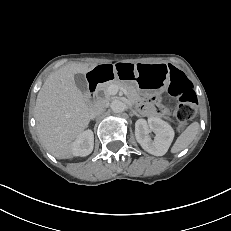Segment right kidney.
Here are the masks:
<instances>
[{
  "label": "right kidney",
  "instance_id": "right-kidney-1",
  "mask_svg": "<svg viewBox=\"0 0 231 231\" xmlns=\"http://www.w3.org/2000/svg\"><path fill=\"white\" fill-rule=\"evenodd\" d=\"M94 146V135L91 130L82 132L73 143L74 156H87L89 155Z\"/></svg>",
  "mask_w": 231,
  "mask_h": 231
}]
</instances>
